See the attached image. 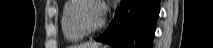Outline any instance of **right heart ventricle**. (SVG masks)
<instances>
[{
	"mask_svg": "<svg viewBox=\"0 0 213 48\" xmlns=\"http://www.w3.org/2000/svg\"><path fill=\"white\" fill-rule=\"evenodd\" d=\"M77 0H67L65 1L62 11H61V30L64 38L69 42H78L84 39L83 35L77 27L74 25L71 19V12L76 4Z\"/></svg>",
	"mask_w": 213,
	"mask_h": 48,
	"instance_id": "e07e8e85",
	"label": "right heart ventricle"
}]
</instances>
